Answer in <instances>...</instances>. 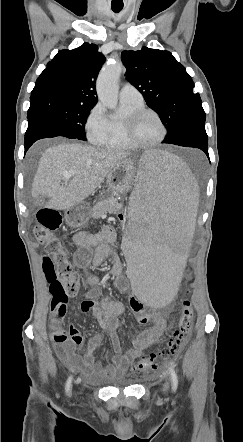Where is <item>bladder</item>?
<instances>
[{
  "label": "bladder",
  "mask_w": 243,
  "mask_h": 442,
  "mask_svg": "<svg viewBox=\"0 0 243 442\" xmlns=\"http://www.w3.org/2000/svg\"><path fill=\"white\" fill-rule=\"evenodd\" d=\"M135 383V380L128 376L114 378L105 384V387L117 388V387H130Z\"/></svg>",
  "instance_id": "bladder-1"
}]
</instances>
